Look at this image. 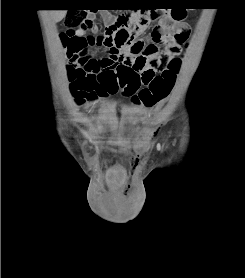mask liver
Returning a JSON list of instances; mask_svg holds the SVG:
<instances>
[{"label":"liver","mask_w":245,"mask_h":278,"mask_svg":"<svg viewBox=\"0 0 245 278\" xmlns=\"http://www.w3.org/2000/svg\"><path fill=\"white\" fill-rule=\"evenodd\" d=\"M67 10H51L50 15L54 22L61 21L66 16Z\"/></svg>","instance_id":"6515ba94"}]
</instances>
